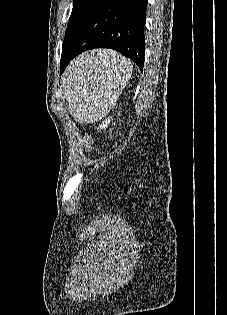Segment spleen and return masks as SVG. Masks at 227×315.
Listing matches in <instances>:
<instances>
[{"instance_id": "spleen-1", "label": "spleen", "mask_w": 227, "mask_h": 315, "mask_svg": "<svg viewBox=\"0 0 227 315\" xmlns=\"http://www.w3.org/2000/svg\"><path fill=\"white\" fill-rule=\"evenodd\" d=\"M132 74L131 62L115 51H92L69 66L63 91L74 119L92 123L115 105Z\"/></svg>"}]
</instances>
